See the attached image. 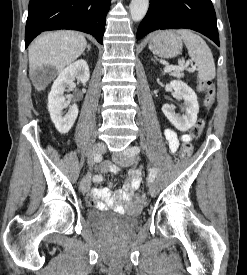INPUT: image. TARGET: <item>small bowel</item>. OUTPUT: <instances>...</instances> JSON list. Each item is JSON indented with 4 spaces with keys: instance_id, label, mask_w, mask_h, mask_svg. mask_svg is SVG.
Listing matches in <instances>:
<instances>
[{
    "instance_id": "1",
    "label": "small bowel",
    "mask_w": 247,
    "mask_h": 275,
    "mask_svg": "<svg viewBox=\"0 0 247 275\" xmlns=\"http://www.w3.org/2000/svg\"><path fill=\"white\" fill-rule=\"evenodd\" d=\"M165 138L168 142L169 149L175 153L179 148L180 141L189 142L192 137L190 135H183L179 137L172 129H166L164 132ZM101 171L106 173H118L120 168L111 163H104L101 166ZM141 178L137 170L129 172V180L124 186L112 192L109 188H94L87 194V202L97 208H108L115 206L117 210L136 212L138 206L132 202L134 191L140 186Z\"/></svg>"
}]
</instances>
